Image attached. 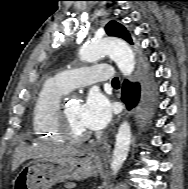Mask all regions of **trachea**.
Returning <instances> with one entry per match:
<instances>
[{"label":"trachea","mask_w":188,"mask_h":189,"mask_svg":"<svg viewBox=\"0 0 188 189\" xmlns=\"http://www.w3.org/2000/svg\"><path fill=\"white\" fill-rule=\"evenodd\" d=\"M112 84H119V80L117 77L112 80Z\"/></svg>","instance_id":"1"}]
</instances>
